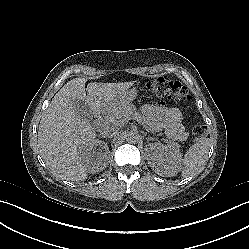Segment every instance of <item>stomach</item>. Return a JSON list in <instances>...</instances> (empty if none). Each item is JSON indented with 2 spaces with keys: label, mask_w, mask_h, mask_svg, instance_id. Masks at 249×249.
I'll list each match as a JSON object with an SVG mask.
<instances>
[{
  "label": "stomach",
  "mask_w": 249,
  "mask_h": 249,
  "mask_svg": "<svg viewBox=\"0 0 249 249\" xmlns=\"http://www.w3.org/2000/svg\"><path fill=\"white\" fill-rule=\"evenodd\" d=\"M137 90L136 89H131L130 91L127 92V94L124 96L123 99L120 100L122 104L132 101L136 98Z\"/></svg>",
  "instance_id": "stomach-1"
}]
</instances>
